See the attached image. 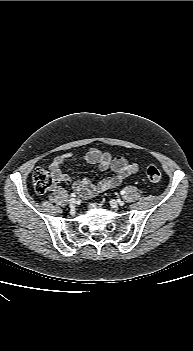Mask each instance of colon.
<instances>
[{
  "mask_svg": "<svg viewBox=\"0 0 193 351\" xmlns=\"http://www.w3.org/2000/svg\"><path fill=\"white\" fill-rule=\"evenodd\" d=\"M146 176L151 182H158L162 177L158 165H150L146 169ZM32 183L38 194H46L56 187L55 178L45 169L37 168L32 174Z\"/></svg>",
  "mask_w": 193,
  "mask_h": 351,
  "instance_id": "obj_1",
  "label": "colon"
}]
</instances>
